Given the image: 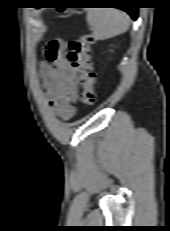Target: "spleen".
Segmentation results:
<instances>
[{
  "instance_id": "3e777b00",
  "label": "spleen",
  "mask_w": 170,
  "mask_h": 231,
  "mask_svg": "<svg viewBox=\"0 0 170 231\" xmlns=\"http://www.w3.org/2000/svg\"><path fill=\"white\" fill-rule=\"evenodd\" d=\"M87 22L92 27L96 40H106L124 33L130 24L128 15L114 8H91Z\"/></svg>"
}]
</instances>
